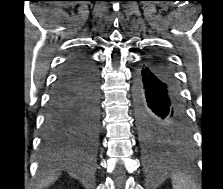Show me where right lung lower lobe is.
Segmentation results:
<instances>
[{"mask_svg":"<svg viewBox=\"0 0 223 189\" xmlns=\"http://www.w3.org/2000/svg\"><path fill=\"white\" fill-rule=\"evenodd\" d=\"M99 80L84 54L69 58L52 88L42 133L46 152L89 150L99 130Z\"/></svg>","mask_w":223,"mask_h":189,"instance_id":"1","label":"right lung lower lobe"}]
</instances>
